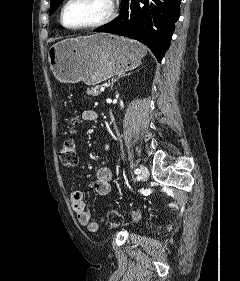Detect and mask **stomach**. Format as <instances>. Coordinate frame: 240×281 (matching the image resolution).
Segmentation results:
<instances>
[{
	"label": "stomach",
	"mask_w": 240,
	"mask_h": 281,
	"mask_svg": "<svg viewBox=\"0 0 240 281\" xmlns=\"http://www.w3.org/2000/svg\"><path fill=\"white\" fill-rule=\"evenodd\" d=\"M145 48L137 41L96 34L70 38L48 49L55 78L63 83L95 85L140 65Z\"/></svg>",
	"instance_id": "obj_1"
}]
</instances>
